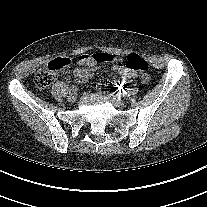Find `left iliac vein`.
<instances>
[{
	"mask_svg": "<svg viewBox=\"0 0 207 207\" xmlns=\"http://www.w3.org/2000/svg\"><path fill=\"white\" fill-rule=\"evenodd\" d=\"M104 97L116 107L122 106L124 104V100L116 95L105 94Z\"/></svg>",
	"mask_w": 207,
	"mask_h": 207,
	"instance_id": "obj_1",
	"label": "left iliac vein"
}]
</instances>
